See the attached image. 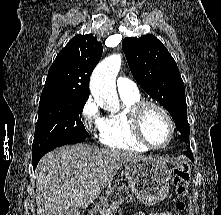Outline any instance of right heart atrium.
I'll return each instance as SVG.
<instances>
[{
    "mask_svg": "<svg viewBox=\"0 0 221 215\" xmlns=\"http://www.w3.org/2000/svg\"><path fill=\"white\" fill-rule=\"evenodd\" d=\"M81 117L88 132L101 135L105 126V118L102 116L100 106L94 97L90 96L84 103L81 109Z\"/></svg>",
    "mask_w": 221,
    "mask_h": 215,
    "instance_id": "obj_1",
    "label": "right heart atrium"
}]
</instances>
